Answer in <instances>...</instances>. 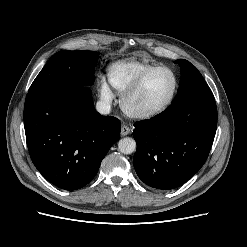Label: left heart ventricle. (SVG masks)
<instances>
[{"mask_svg":"<svg viewBox=\"0 0 247 247\" xmlns=\"http://www.w3.org/2000/svg\"><path fill=\"white\" fill-rule=\"evenodd\" d=\"M173 89L172 75L165 70L150 74L132 99L136 109H152L164 103Z\"/></svg>","mask_w":247,"mask_h":247,"instance_id":"b2bd125f","label":"left heart ventricle"}]
</instances>
